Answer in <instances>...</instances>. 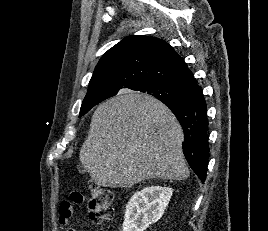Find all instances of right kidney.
I'll return each mask as SVG.
<instances>
[{"label":"right kidney","mask_w":268,"mask_h":231,"mask_svg":"<svg viewBox=\"0 0 268 231\" xmlns=\"http://www.w3.org/2000/svg\"><path fill=\"white\" fill-rule=\"evenodd\" d=\"M173 190L150 186L136 192L126 206L122 231H144L164 214Z\"/></svg>","instance_id":"ca27d5eb"}]
</instances>
